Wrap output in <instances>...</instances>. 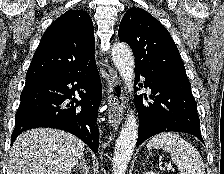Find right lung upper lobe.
<instances>
[{"instance_id":"obj_1","label":"right lung upper lobe","mask_w":224,"mask_h":174,"mask_svg":"<svg viewBox=\"0 0 224 174\" xmlns=\"http://www.w3.org/2000/svg\"><path fill=\"white\" fill-rule=\"evenodd\" d=\"M93 23L84 10H69L45 31L33 55L26 81L72 72L95 63Z\"/></svg>"}]
</instances>
